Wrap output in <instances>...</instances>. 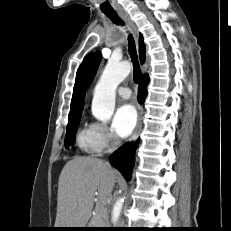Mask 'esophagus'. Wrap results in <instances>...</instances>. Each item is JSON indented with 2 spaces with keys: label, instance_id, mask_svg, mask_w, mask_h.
<instances>
[{
  "label": "esophagus",
  "instance_id": "esophagus-1",
  "mask_svg": "<svg viewBox=\"0 0 231 231\" xmlns=\"http://www.w3.org/2000/svg\"><path fill=\"white\" fill-rule=\"evenodd\" d=\"M120 16L128 22L129 26L132 29L135 42L137 43L138 38H139V32H138V29L135 26L134 22L130 19V17L126 13L120 12ZM142 114H143V109L141 106H139L137 124H136L135 130H134V133H133L132 137L130 138V142H135L139 137V134H140V131L142 128Z\"/></svg>",
  "mask_w": 231,
  "mask_h": 231
}]
</instances>
